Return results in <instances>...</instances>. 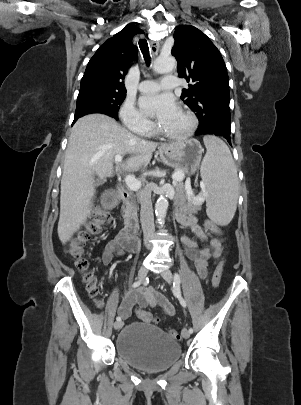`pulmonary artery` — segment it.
<instances>
[{
    "mask_svg": "<svg viewBox=\"0 0 301 405\" xmlns=\"http://www.w3.org/2000/svg\"><path fill=\"white\" fill-rule=\"evenodd\" d=\"M178 86L176 76L168 75L161 79L160 82L154 80H144L139 84V90L142 93H154L161 89H173Z\"/></svg>",
    "mask_w": 301,
    "mask_h": 405,
    "instance_id": "e3ab8cb5",
    "label": "pulmonary artery"
}]
</instances>
